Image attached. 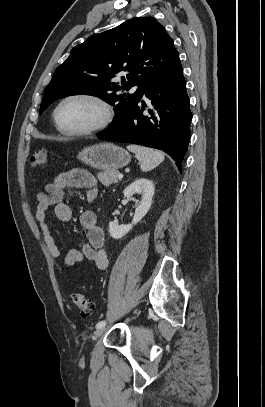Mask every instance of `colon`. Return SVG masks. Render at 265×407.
I'll list each match as a JSON object with an SVG mask.
<instances>
[{"mask_svg": "<svg viewBox=\"0 0 265 407\" xmlns=\"http://www.w3.org/2000/svg\"><path fill=\"white\" fill-rule=\"evenodd\" d=\"M47 162V151L43 148L37 149L31 156V165L33 167L44 166ZM72 303L79 309L83 316H87L93 310V304L82 294L72 295Z\"/></svg>", "mask_w": 265, "mask_h": 407, "instance_id": "colon-1", "label": "colon"}]
</instances>
